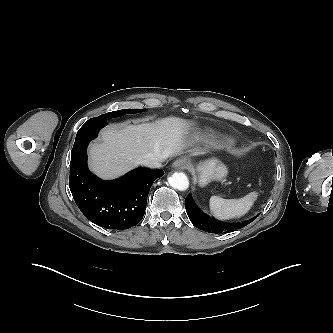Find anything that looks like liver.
<instances>
[{"label": "liver", "instance_id": "6515ba94", "mask_svg": "<svg viewBox=\"0 0 333 333\" xmlns=\"http://www.w3.org/2000/svg\"><path fill=\"white\" fill-rule=\"evenodd\" d=\"M189 123L167 117L154 123L108 127L89 148L90 168L102 179L116 178L145 158L167 159L183 151ZM200 152H194L199 154Z\"/></svg>", "mask_w": 333, "mask_h": 333}]
</instances>
